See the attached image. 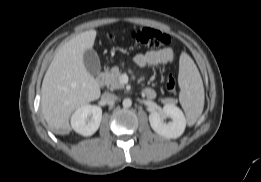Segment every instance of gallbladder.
I'll list each match as a JSON object with an SVG mask.
<instances>
[{"mask_svg":"<svg viewBox=\"0 0 261 182\" xmlns=\"http://www.w3.org/2000/svg\"><path fill=\"white\" fill-rule=\"evenodd\" d=\"M83 62L88 73L92 76H97L99 74L101 64L95 50L87 49L83 55Z\"/></svg>","mask_w":261,"mask_h":182,"instance_id":"1","label":"gallbladder"}]
</instances>
